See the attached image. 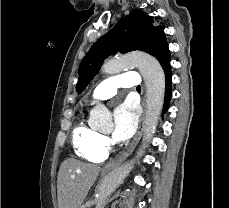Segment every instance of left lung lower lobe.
I'll use <instances>...</instances> for the list:
<instances>
[{"mask_svg":"<svg viewBox=\"0 0 229 208\" xmlns=\"http://www.w3.org/2000/svg\"><path fill=\"white\" fill-rule=\"evenodd\" d=\"M170 59L167 60L163 65V70L165 72V102L163 114L167 111L169 107V101L171 98V67L169 65Z\"/></svg>","mask_w":229,"mask_h":208,"instance_id":"1","label":"left lung lower lobe"}]
</instances>
